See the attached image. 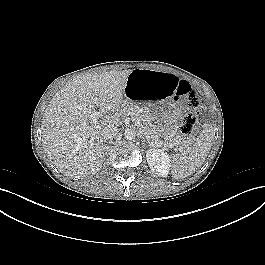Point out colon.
Returning a JSON list of instances; mask_svg holds the SVG:
<instances>
[{"instance_id":"5ec220e1","label":"colon","mask_w":265,"mask_h":265,"mask_svg":"<svg viewBox=\"0 0 265 265\" xmlns=\"http://www.w3.org/2000/svg\"><path fill=\"white\" fill-rule=\"evenodd\" d=\"M176 98H183L186 103L192 108H197L199 106V99L196 91L186 81L180 80L177 82ZM200 123V113L196 110H193L183 118L180 125L181 132L187 136L192 135L199 129Z\"/></svg>"}]
</instances>
